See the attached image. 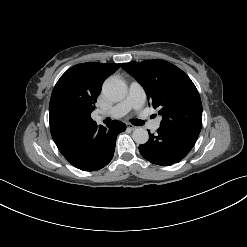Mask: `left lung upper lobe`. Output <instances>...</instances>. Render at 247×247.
I'll use <instances>...</instances> for the list:
<instances>
[{
  "label": "left lung upper lobe",
  "mask_w": 247,
  "mask_h": 247,
  "mask_svg": "<svg viewBox=\"0 0 247 247\" xmlns=\"http://www.w3.org/2000/svg\"><path fill=\"white\" fill-rule=\"evenodd\" d=\"M122 68L143 86L148 99L162 116L160 127L200 133L202 103L191 79L165 60L123 63Z\"/></svg>",
  "instance_id": "5c2ea615"
}]
</instances>
